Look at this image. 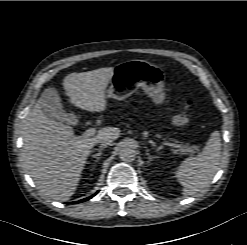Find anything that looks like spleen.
I'll list each match as a JSON object with an SVG mask.
<instances>
[{
    "mask_svg": "<svg viewBox=\"0 0 247 245\" xmlns=\"http://www.w3.org/2000/svg\"><path fill=\"white\" fill-rule=\"evenodd\" d=\"M221 158L219 131H214L201 153L186 158L175 176L183 186L184 195H193L207 187L215 176Z\"/></svg>",
    "mask_w": 247,
    "mask_h": 245,
    "instance_id": "spleen-1",
    "label": "spleen"
}]
</instances>
